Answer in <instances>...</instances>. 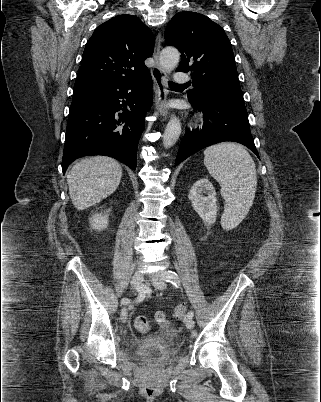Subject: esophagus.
<instances>
[{
	"mask_svg": "<svg viewBox=\"0 0 321 402\" xmlns=\"http://www.w3.org/2000/svg\"><path fill=\"white\" fill-rule=\"evenodd\" d=\"M161 42H162V36L159 33L155 40V47L153 53L154 66L151 69V74L154 85L156 87V94L154 98L155 109L163 119H167L168 118V111L166 109V100L168 95L167 74L159 62Z\"/></svg>",
	"mask_w": 321,
	"mask_h": 402,
	"instance_id": "obj_1",
	"label": "esophagus"
}]
</instances>
